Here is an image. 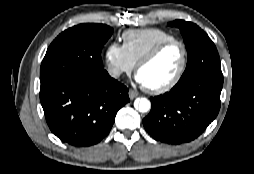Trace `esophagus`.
<instances>
[{"label": "esophagus", "mask_w": 254, "mask_h": 174, "mask_svg": "<svg viewBox=\"0 0 254 174\" xmlns=\"http://www.w3.org/2000/svg\"><path fill=\"white\" fill-rule=\"evenodd\" d=\"M138 96V93L135 91V90H133V89H130L129 90V98L131 99V100H133L134 98H136Z\"/></svg>", "instance_id": "obj_1"}]
</instances>
